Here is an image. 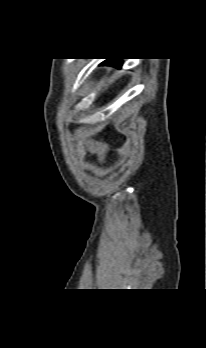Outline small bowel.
Here are the masks:
<instances>
[{"label": "small bowel", "mask_w": 206, "mask_h": 348, "mask_svg": "<svg viewBox=\"0 0 206 348\" xmlns=\"http://www.w3.org/2000/svg\"><path fill=\"white\" fill-rule=\"evenodd\" d=\"M107 150V147L105 144L103 143H98V144H94L92 147H91V151L93 153H96L98 154L99 156H103L105 154Z\"/></svg>", "instance_id": "small-bowel-1"}]
</instances>
